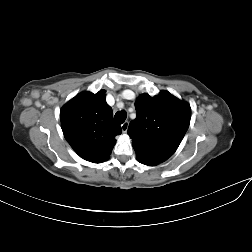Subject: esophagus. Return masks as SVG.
<instances>
[{
  "label": "esophagus",
  "instance_id": "esophagus-1",
  "mask_svg": "<svg viewBox=\"0 0 252 252\" xmlns=\"http://www.w3.org/2000/svg\"><path fill=\"white\" fill-rule=\"evenodd\" d=\"M129 123L128 121H125L124 123L121 124V129L123 133H126L128 130Z\"/></svg>",
  "mask_w": 252,
  "mask_h": 252
}]
</instances>
